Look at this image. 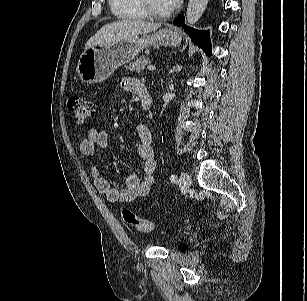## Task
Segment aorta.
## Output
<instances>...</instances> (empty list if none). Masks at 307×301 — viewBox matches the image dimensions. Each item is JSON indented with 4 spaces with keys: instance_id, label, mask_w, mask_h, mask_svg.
I'll return each mask as SVG.
<instances>
[{
    "instance_id": "obj_1",
    "label": "aorta",
    "mask_w": 307,
    "mask_h": 301,
    "mask_svg": "<svg viewBox=\"0 0 307 301\" xmlns=\"http://www.w3.org/2000/svg\"><path fill=\"white\" fill-rule=\"evenodd\" d=\"M209 0H189L186 22L188 25H194L202 16L206 9Z\"/></svg>"
}]
</instances>
